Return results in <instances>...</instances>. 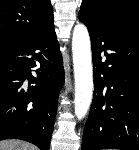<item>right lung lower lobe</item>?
Masks as SVG:
<instances>
[{"mask_svg": "<svg viewBox=\"0 0 139 150\" xmlns=\"http://www.w3.org/2000/svg\"><path fill=\"white\" fill-rule=\"evenodd\" d=\"M37 63L34 77L30 68ZM63 81L53 22L33 39L0 51V140L22 139L49 150Z\"/></svg>", "mask_w": 139, "mask_h": 150, "instance_id": "obj_1", "label": "right lung lower lobe"}]
</instances>
